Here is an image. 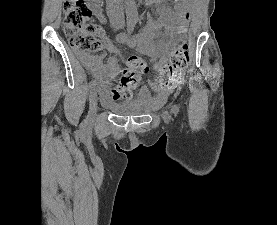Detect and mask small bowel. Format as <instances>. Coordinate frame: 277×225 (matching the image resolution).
I'll list each match as a JSON object with an SVG mask.
<instances>
[{
  "label": "small bowel",
  "mask_w": 277,
  "mask_h": 225,
  "mask_svg": "<svg viewBox=\"0 0 277 225\" xmlns=\"http://www.w3.org/2000/svg\"><path fill=\"white\" fill-rule=\"evenodd\" d=\"M146 5H155L158 7L160 17L158 19L151 18L143 32L137 35L125 33L116 37V43H127L129 47L136 49L138 52L148 55L154 59L153 67L159 71L163 67L169 45L175 41V17L182 16L188 20L190 14L182 5H176L177 13L171 11L163 5V0H146ZM91 7L102 23L105 18L102 15L100 5L91 0ZM105 48L114 55L109 57L104 63L103 56L90 55L88 53H79L78 57L84 66L89 70L93 79V85L105 95L111 81L116 77L119 71L118 59L122 57L116 43L110 38L101 34ZM151 85L153 83L151 82ZM174 89L172 85H162L157 87L153 97L155 103H163L169 93ZM142 97L148 94L146 87L142 88Z\"/></svg>",
  "instance_id": "1"
}]
</instances>
